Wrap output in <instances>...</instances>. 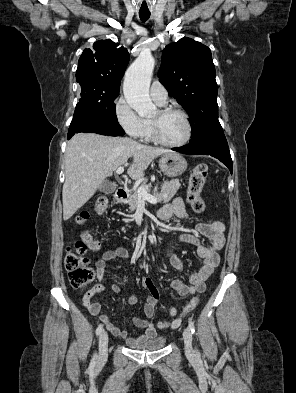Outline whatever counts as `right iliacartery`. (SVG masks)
Returning <instances> with one entry per match:
<instances>
[{"instance_id": "82829eb1", "label": "right iliac artery", "mask_w": 296, "mask_h": 393, "mask_svg": "<svg viewBox=\"0 0 296 393\" xmlns=\"http://www.w3.org/2000/svg\"><path fill=\"white\" fill-rule=\"evenodd\" d=\"M102 330H103V325L100 324V325L97 327V329H96V334H97V335H100L101 332H102ZM96 359H97V354H94L93 359H92V361H91V364H92V365H94V364L96 363Z\"/></svg>"}]
</instances>
